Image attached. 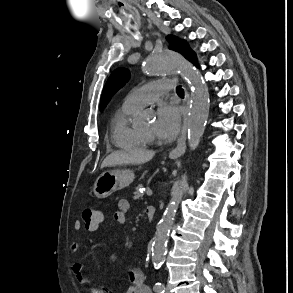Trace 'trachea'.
Instances as JSON below:
<instances>
[{"instance_id": "trachea-1", "label": "trachea", "mask_w": 293, "mask_h": 293, "mask_svg": "<svg viewBox=\"0 0 293 293\" xmlns=\"http://www.w3.org/2000/svg\"><path fill=\"white\" fill-rule=\"evenodd\" d=\"M176 91H177V93H182L183 92V89L179 86V87H177V89H176Z\"/></svg>"}]
</instances>
